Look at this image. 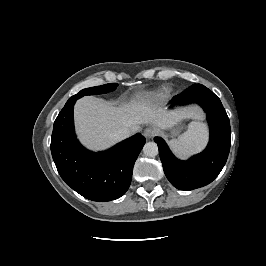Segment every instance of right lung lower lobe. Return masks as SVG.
I'll return each mask as SVG.
<instances>
[{
    "label": "right lung lower lobe",
    "mask_w": 266,
    "mask_h": 266,
    "mask_svg": "<svg viewBox=\"0 0 266 266\" xmlns=\"http://www.w3.org/2000/svg\"><path fill=\"white\" fill-rule=\"evenodd\" d=\"M75 102L66 103L54 122L51 153L56 168L65 183L83 197L98 202L115 200L128 190L146 140L136 134L107 151L85 149L74 131Z\"/></svg>",
    "instance_id": "98d812e1"
}]
</instances>
